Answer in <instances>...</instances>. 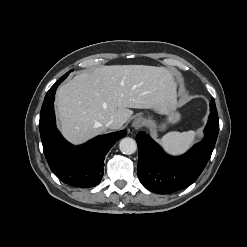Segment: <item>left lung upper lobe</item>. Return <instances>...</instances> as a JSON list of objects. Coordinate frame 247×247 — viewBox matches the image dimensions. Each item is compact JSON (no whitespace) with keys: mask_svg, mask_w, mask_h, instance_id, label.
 I'll list each match as a JSON object with an SVG mask.
<instances>
[{"mask_svg":"<svg viewBox=\"0 0 247 247\" xmlns=\"http://www.w3.org/2000/svg\"><path fill=\"white\" fill-rule=\"evenodd\" d=\"M208 122L213 125H219V119H218V114H217L214 99H212L210 103V116Z\"/></svg>","mask_w":247,"mask_h":247,"instance_id":"1","label":"left lung upper lobe"}]
</instances>
